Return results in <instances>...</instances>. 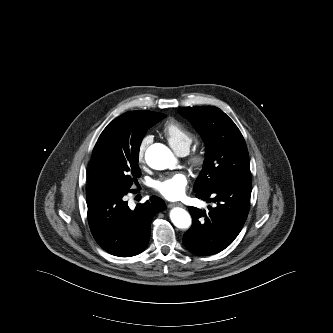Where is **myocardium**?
I'll return each instance as SVG.
<instances>
[{
	"instance_id": "f54148a6",
	"label": "myocardium",
	"mask_w": 333,
	"mask_h": 333,
	"mask_svg": "<svg viewBox=\"0 0 333 333\" xmlns=\"http://www.w3.org/2000/svg\"><path fill=\"white\" fill-rule=\"evenodd\" d=\"M206 161V155L203 149L195 150L189 158L191 167L195 170H200Z\"/></svg>"
}]
</instances>
